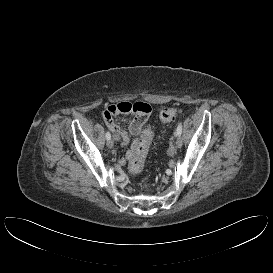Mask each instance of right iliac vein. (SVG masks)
<instances>
[{
    "instance_id": "1",
    "label": "right iliac vein",
    "mask_w": 273,
    "mask_h": 273,
    "mask_svg": "<svg viewBox=\"0 0 273 273\" xmlns=\"http://www.w3.org/2000/svg\"><path fill=\"white\" fill-rule=\"evenodd\" d=\"M107 146H108V148H113V146H114L113 140H111V139L107 140Z\"/></svg>"
}]
</instances>
